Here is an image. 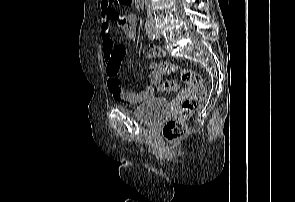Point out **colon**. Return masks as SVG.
I'll return each instance as SVG.
<instances>
[{
  "label": "colon",
  "mask_w": 295,
  "mask_h": 202,
  "mask_svg": "<svg viewBox=\"0 0 295 202\" xmlns=\"http://www.w3.org/2000/svg\"><path fill=\"white\" fill-rule=\"evenodd\" d=\"M111 3L131 6L132 0H109ZM149 71H153V75L171 74L178 72L182 81L189 85L192 90L190 98H187L183 104L178 118L168 120L162 129V135L165 140L174 142L182 139L187 133L186 120L196 110H198L206 97V87L204 85L203 78L193 70L181 68L178 65L163 61L158 64L149 66ZM179 88V84L173 80L164 81L159 85V91L170 92L176 91Z\"/></svg>",
  "instance_id": "colon-1"
}]
</instances>
